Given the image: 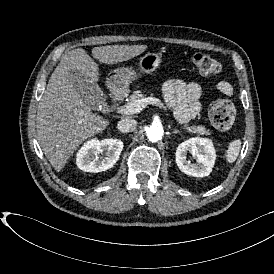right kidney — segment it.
I'll use <instances>...</instances> for the list:
<instances>
[{
	"label": "right kidney",
	"instance_id": "right-kidney-1",
	"mask_svg": "<svg viewBox=\"0 0 274 274\" xmlns=\"http://www.w3.org/2000/svg\"><path fill=\"white\" fill-rule=\"evenodd\" d=\"M123 142L117 138L91 139L76 154V165L85 172L98 173L112 168L119 160ZM105 151L102 156L100 153Z\"/></svg>",
	"mask_w": 274,
	"mask_h": 274
}]
</instances>
